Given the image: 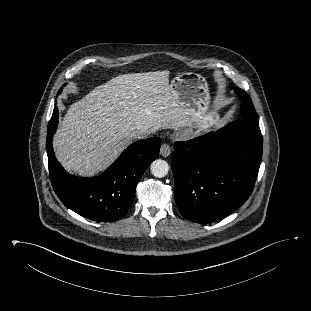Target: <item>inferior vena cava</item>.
Returning <instances> with one entry per match:
<instances>
[{
  "instance_id": "obj_1",
  "label": "inferior vena cava",
  "mask_w": 311,
  "mask_h": 311,
  "mask_svg": "<svg viewBox=\"0 0 311 311\" xmlns=\"http://www.w3.org/2000/svg\"><path fill=\"white\" fill-rule=\"evenodd\" d=\"M148 136V133L146 132H137V133H133V137L134 138H137V139H143V138H146Z\"/></svg>"
}]
</instances>
